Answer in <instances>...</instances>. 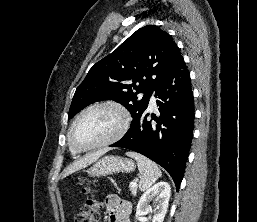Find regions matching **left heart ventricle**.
<instances>
[{"mask_svg": "<svg viewBox=\"0 0 257 222\" xmlns=\"http://www.w3.org/2000/svg\"><path fill=\"white\" fill-rule=\"evenodd\" d=\"M120 116L110 108H99L85 114L76 124L73 140L79 147H89L111 137L119 128Z\"/></svg>", "mask_w": 257, "mask_h": 222, "instance_id": "obj_1", "label": "left heart ventricle"}]
</instances>
